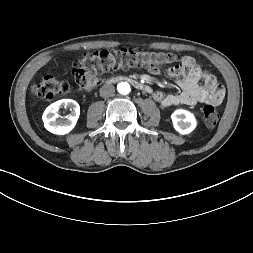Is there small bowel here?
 <instances>
[{"instance_id":"1","label":"small bowel","mask_w":253,"mask_h":253,"mask_svg":"<svg viewBox=\"0 0 253 253\" xmlns=\"http://www.w3.org/2000/svg\"><path fill=\"white\" fill-rule=\"evenodd\" d=\"M146 72L150 76L162 77L165 73L175 80L180 87V92L166 94L156 90L152 92L153 99L163 107L176 105H197L199 103H211L215 106L222 104L225 98V90L217 79L202 68L191 57L185 56L181 63L168 65L166 68L162 64L150 65Z\"/></svg>"}]
</instances>
